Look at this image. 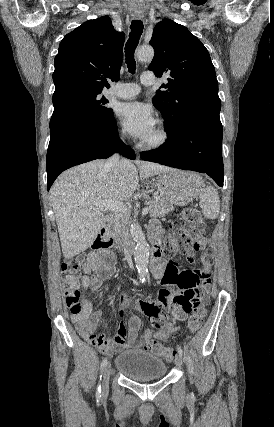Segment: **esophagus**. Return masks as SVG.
I'll list each match as a JSON object with an SVG mask.
<instances>
[{
  "instance_id": "obj_1",
  "label": "esophagus",
  "mask_w": 274,
  "mask_h": 427,
  "mask_svg": "<svg viewBox=\"0 0 274 427\" xmlns=\"http://www.w3.org/2000/svg\"><path fill=\"white\" fill-rule=\"evenodd\" d=\"M134 18H141L140 15H134Z\"/></svg>"
}]
</instances>
